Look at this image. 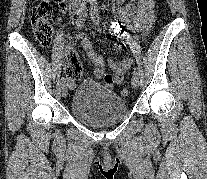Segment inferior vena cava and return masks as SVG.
Masks as SVG:
<instances>
[{
  "instance_id": "obj_1",
  "label": "inferior vena cava",
  "mask_w": 207,
  "mask_h": 179,
  "mask_svg": "<svg viewBox=\"0 0 207 179\" xmlns=\"http://www.w3.org/2000/svg\"><path fill=\"white\" fill-rule=\"evenodd\" d=\"M72 2H85V0H72Z\"/></svg>"
}]
</instances>
